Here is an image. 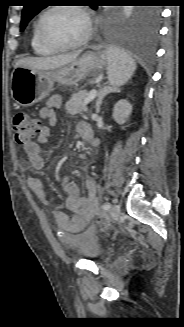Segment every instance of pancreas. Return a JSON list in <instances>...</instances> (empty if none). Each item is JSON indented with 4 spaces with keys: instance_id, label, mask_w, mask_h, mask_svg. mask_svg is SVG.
I'll use <instances>...</instances> for the list:
<instances>
[{
    "instance_id": "pancreas-1",
    "label": "pancreas",
    "mask_w": 184,
    "mask_h": 327,
    "mask_svg": "<svg viewBox=\"0 0 184 327\" xmlns=\"http://www.w3.org/2000/svg\"><path fill=\"white\" fill-rule=\"evenodd\" d=\"M89 96L87 91H81L71 96L70 100L65 104L67 114L74 115L78 112L85 111V99Z\"/></svg>"
}]
</instances>
